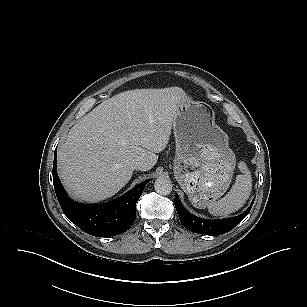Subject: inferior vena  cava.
<instances>
[{
  "mask_svg": "<svg viewBox=\"0 0 307 307\" xmlns=\"http://www.w3.org/2000/svg\"><path fill=\"white\" fill-rule=\"evenodd\" d=\"M129 167L133 170H143L144 169V163L142 161H134L129 164Z\"/></svg>",
  "mask_w": 307,
  "mask_h": 307,
  "instance_id": "inferior-vena-cava-1",
  "label": "inferior vena cava"
}]
</instances>
